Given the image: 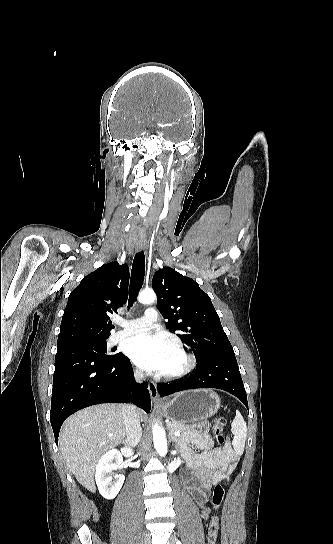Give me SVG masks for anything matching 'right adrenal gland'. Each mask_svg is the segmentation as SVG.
Masks as SVG:
<instances>
[{
    "label": "right adrenal gland",
    "instance_id": "2a0ac1e0",
    "mask_svg": "<svg viewBox=\"0 0 333 544\" xmlns=\"http://www.w3.org/2000/svg\"><path fill=\"white\" fill-rule=\"evenodd\" d=\"M123 444H124L125 446L127 445V439H125V440L123 441Z\"/></svg>",
    "mask_w": 333,
    "mask_h": 544
}]
</instances>
